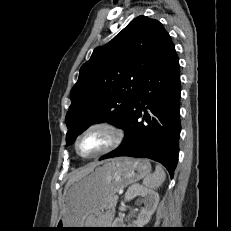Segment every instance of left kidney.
<instances>
[{"label":"left kidney","instance_id":"5707ae66","mask_svg":"<svg viewBox=\"0 0 231 231\" xmlns=\"http://www.w3.org/2000/svg\"><path fill=\"white\" fill-rule=\"evenodd\" d=\"M137 196L142 198L145 206L141 209L133 226L136 228H142L150 221L152 214L155 212L159 202V194L140 185H133L125 193V200L129 201ZM120 222L119 218L115 219L113 226L117 228L120 225Z\"/></svg>","mask_w":231,"mask_h":231}]
</instances>
